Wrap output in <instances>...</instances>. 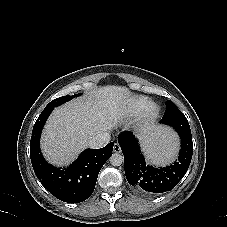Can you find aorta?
<instances>
[{"label":"aorta","instance_id":"1","mask_svg":"<svg viewBox=\"0 0 227 227\" xmlns=\"http://www.w3.org/2000/svg\"><path fill=\"white\" fill-rule=\"evenodd\" d=\"M109 161L112 166L118 167L123 164L124 157L120 153H113L110 156Z\"/></svg>","mask_w":227,"mask_h":227}]
</instances>
